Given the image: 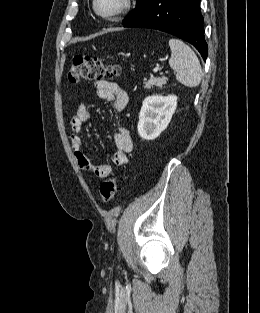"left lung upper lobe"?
<instances>
[{
	"mask_svg": "<svg viewBox=\"0 0 260 313\" xmlns=\"http://www.w3.org/2000/svg\"><path fill=\"white\" fill-rule=\"evenodd\" d=\"M151 0H137L136 8L130 12L125 18L124 22L131 20L134 18L137 14H139L150 2Z\"/></svg>",
	"mask_w": 260,
	"mask_h": 313,
	"instance_id": "obj_1",
	"label": "left lung upper lobe"
}]
</instances>
